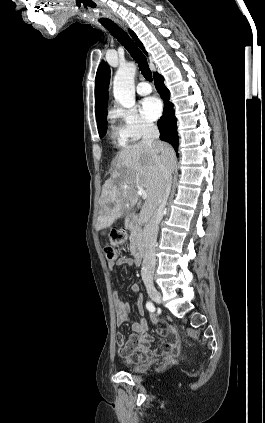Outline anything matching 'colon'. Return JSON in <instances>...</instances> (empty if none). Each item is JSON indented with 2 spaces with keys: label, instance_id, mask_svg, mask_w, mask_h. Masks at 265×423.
I'll use <instances>...</instances> for the list:
<instances>
[{
  "label": "colon",
  "instance_id": "colon-1",
  "mask_svg": "<svg viewBox=\"0 0 265 423\" xmlns=\"http://www.w3.org/2000/svg\"><path fill=\"white\" fill-rule=\"evenodd\" d=\"M112 245L104 248V254L108 261H114L117 258V250L115 245L124 244L127 240V235L123 230L115 229L111 233Z\"/></svg>",
  "mask_w": 265,
  "mask_h": 423
}]
</instances>
